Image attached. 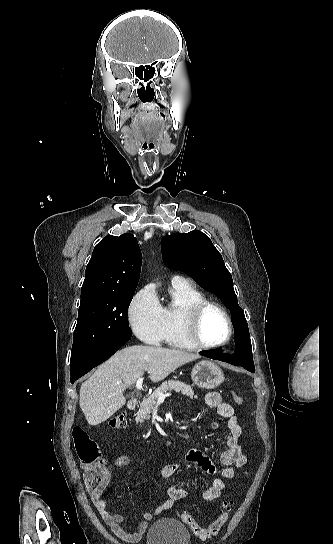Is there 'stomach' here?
I'll use <instances>...</instances> for the list:
<instances>
[{
  "instance_id": "obj_1",
  "label": "stomach",
  "mask_w": 333,
  "mask_h": 544,
  "mask_svg": "<svg viewBox=\"0 0 333 544\" xmlns=\"http://www.w3.org/2000/svg\"><path fill=\"white\" fill-rule=\"evenodd\" d=\"M191 377L198 387L211 390L217 388L224 381L221 368L212 361L197 363L191 372Z\"/></svg>"
}]
</instances>
